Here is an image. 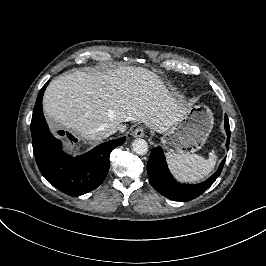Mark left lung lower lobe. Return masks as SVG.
I'll return each mask as SVG.
<instances>
[{"label": "left lung lower lobe", "mask_w": 266, "mask_h": 266, "mask_svg": "<svg viewBox=\"0 0 266 266\" xmlns=\"http://www.w3.org/2000/svg\"><path fill=\"white\" fill-rule=\"evenodd\" d=\"M224 126L227 133L226 147L228 149L230 127L227 115H225ZM225 159L220 163L218 170L206 181L192 185L182 184L171 175L161 147H155L152 149L148 160L147 173L152 185L160 194L171 200L186 202L201 195L215 182L222 171Z\"/></svg>", "instance_id": "1"}]
</instances>
